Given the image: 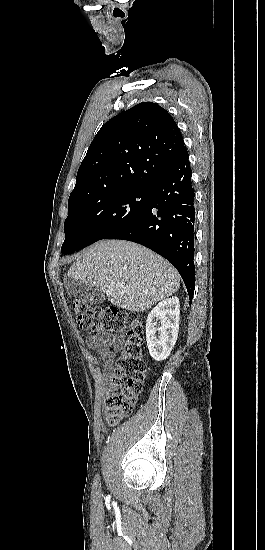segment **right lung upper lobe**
<instances>
[{
	"label": "right lung upper lobe",
	"instance_id": "obj_1",
	"mask_svg": "<svg viewBox=\"0 0 265 550\" xmlns=\"http://www.w3.org/2000/svg\"><path fill=\"white\" fill-rule=\"evenodd\" d=\"M187 151L171 115L142 102L106 122L93 139L68 203L150 188Z\"/></svg>",
	"mask_w": 265,
	"mask_h": 550
}]
</instances>
